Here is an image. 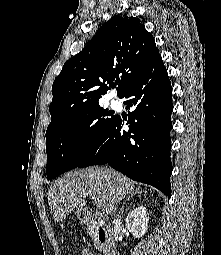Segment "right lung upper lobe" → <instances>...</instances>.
I'll return each instance as SVG.
<instances>
[{
	"mask_svg": "<svg viewBox=\"0 0 221 255\" xmlns=\"http://www.w3.org/2000/svg\"><path fill=\"white\" fill-rule=\"evenodd\" d=\"M160 57L155 40L138 18L113 16L56 77L49 132L70 115L94 104L119 82V98Z\"/></svg>",
	"mask_w": 221,
	"mask_h": 255,
	"instance_id": "right-lung-upper-lobe-1",
	"label": "right lung upper lobe"
}]
</instances>
